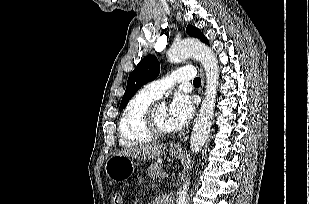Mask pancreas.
<instances>
[{
  "label": "pancreas",
  "instance_id": "1",
  "mask_svg": "<svg viewBox=\"0 0 309 204\" xmlns=\"http://www.w3.org/2000/svg\"><path fill=\"white\" fill-rule=\"evenodd\" d=\"M163 171H162V166L158 163L152 164L149 168H148V175L152 178V179H161L163 178Z\"/></svg>",
  "mask_w": 309,
  "mask_h": 204
}]
</instances>
